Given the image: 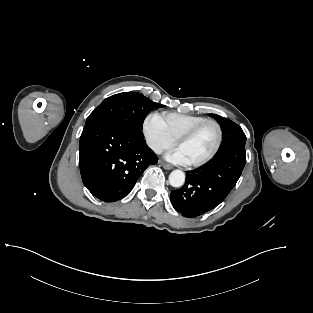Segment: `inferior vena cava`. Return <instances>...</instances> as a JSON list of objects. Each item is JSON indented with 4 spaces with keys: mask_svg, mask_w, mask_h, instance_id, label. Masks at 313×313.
<instances>
[{
    "mask_svg": "<svg viewBox=\"0 0 313 313\" xmlns=\"http://www.w3.org/2000/svg\"><path fill=\"white\" fill-rule=\"evenodd\" d=\"M154 151H155L156 153L160 154V153H162L163 148H162V147H159V146H155V147H154Z\"/></svg>",
    "mask_w": 313,
    "mask_h": 313,
    "instance_id": "inferior-vena-cava-1",
    "label": "inferior vena cava"
}]
</instances>
